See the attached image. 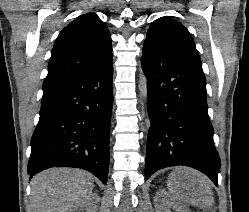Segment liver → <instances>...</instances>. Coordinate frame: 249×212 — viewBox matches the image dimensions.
Masks as SVG:
<instances>
[{
    "label": "liver",
    "instance_id": "1",
    "mask_svg": "<svg viewBox=\"0 0 249 212\" xmlns=\"http://www.w3.org/2000/svg\"><path fill=\"white\" fill-rule=\"evenodd\" d=\"M168 178V190L182 202L198 208L214 206L213 192L208 180L192 168H175ZM33 212H67L79 206L94 188L93 176L75 168H50L31 180Z\"/></svg>",
    "mask_w": 249,
    "mask_h": 212
}]
</instances>
